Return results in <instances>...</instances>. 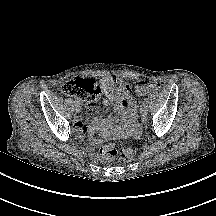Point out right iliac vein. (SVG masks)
Returning <instances> with one entry per match:
<instances>
[{"mask_svg":"<svg viewBox=\"0 0 216 216\" xmlns=\"http://www.w3.org/2000/svg\"><path fill=\"white\" fill-rule=\"evenodd\" d=\"M75 110H76L77 113H79L81 111V105L77 106L75 104Z\"/></svg>","mask_w":216,"mask_h":216,"instance_id":"63e3f726","label":"right iliac vein"}]
</instances>
